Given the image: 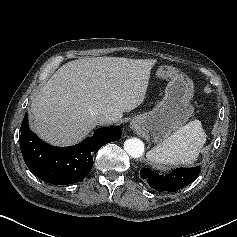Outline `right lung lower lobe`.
Returning a JSON list of instances; mask_svg holds the SVG:
<instances>
[{"instance_id": "1", "label": "right lung lower lobe", "mask_w": 237, "mask_h": 237, "mask_svg": "<svg viewBox=\"0 0 237 237\" xmlns=\"http://www.w3.org/2000/svg\"><path fill=\"white\" fill-rule=\"evenodd\" d=\"M120 137V127H105L97 129L93 136L77 145L51 146L30 131L26 114L19 141L23 159L34 175L50 184L66 185L85 178L93 166V154Z\"/></svg>"}]
</instances>
